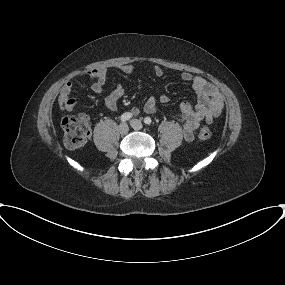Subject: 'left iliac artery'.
Here are the masks:
<instances>
[{"label":"left iliac artery","mask_w":285,"mask_h":285,"mask_svg":"<svg viewBox=\"0 0 285 285\" xmlns=\"http://www.w3.org/2000/svg\"><path fill=\"white\" fill-rule=\"evenodd\" d=\"M151 122H152V120H151L150 117H145V118H144V123H145L146 125H150Z\"/></svg>","instance_id":"1"}]
</instances>
